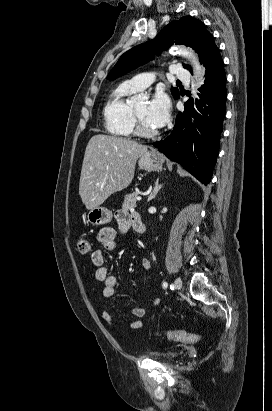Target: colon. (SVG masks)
Listing matches in <instances>:
<instances>
[{"instance_id":"5ec220e1","label":"colon","mask_w":272,"mask_h":411,"mask_svg":"<svg viewBox=\"0 0 272 411\" xmlns=\"http://www.w3.org/2000/svg\"><path fill=\"white\" fill-rule=\"evenodd\" d=\"M78 249L82 254H86L90 250L89 241L86 239H80L78 241ZM157 335L163 334L168 339L176 342L193 343L200 339V335L194 332H188L184 330H165L157 332Z\"/></svg>"}]
</instances>
